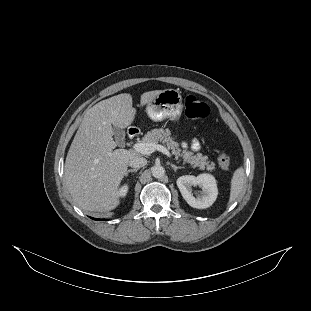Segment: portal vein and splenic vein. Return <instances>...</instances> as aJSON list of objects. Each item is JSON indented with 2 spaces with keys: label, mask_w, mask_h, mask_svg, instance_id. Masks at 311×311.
Here are the masks:
<instances>
[{
  "label": "portal vein and splenic vein",
  "mask_w": 311,
  "mask_h": 311,
  "mask_svg": "<svg viewBox=\"0 0 311 311\" xmlns=\"http://www.w3.org/2000/svg\"><path fill=\"white\" fill-rule=\"evenodd\" d=\"M133 148L135 151L141 153V154H145V155H149L155 151H159L162 152L163 154H165L168 157H171V153L170 151L164 147L161 144H155V143H135L133 145Z\"/></svg>",
  "instance_id": "portal-vein-and-splenic-vein-1"
}]
</instances>
